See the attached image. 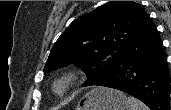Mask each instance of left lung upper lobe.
<instances>
[{
	"label": "left lung upper lobe",
	"instance_id": "1",
	"mask_svg": "<svg viewBox=\"0 0 171 110\" xmlns=\"http://www.w3.org/2000/svg\"><path fill=\"white\" fill-rule=\"evenodd\" d=\"M150 20L133 1H110L74 20L55 42L44 73L73 63L87 73V85L110 74Z\"/></svg>",
	"mask_w": 171,
	"mask_h": 110
}]
</instances>
